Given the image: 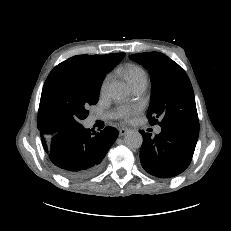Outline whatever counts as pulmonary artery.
I'll use <instances>...</instances> for the list:
<instances>
[{"label": "pulmonary artery", "instance_id": "pulmonary-artery-1", "mask_svg": "<svg viewBox=\"0 0 231 231\" xmlns=\"http://www.w3.org/2000/svg\"><path fill=\"white\" fill-rule=\"evenodd\" d=\"M145 88H146V85H140V86L133 88L132 90L135 94H141L145 90ZM99 118L100 117H98V116H93L91 118V120L95 121L96 119H99ZM160 132H161V126L155 127V133L159 134Z\"/></svg>", "mask_w": 231, "mask_h": 231}]
</instances>
